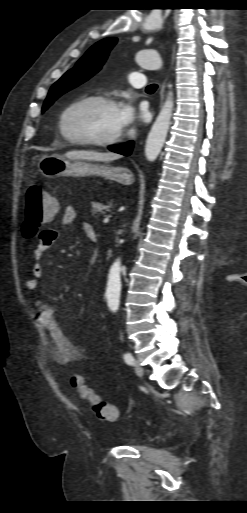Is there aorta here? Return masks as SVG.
Returning a JSON list of instances; mask_svg holds the SVG:
<instances>
[{"label":"aorta","instance_id":"aorta-1","mask_svg":"<svg viewBox=\"0 0 247 513\" xmlns=\"http://www.w3.org/2000/svg\"><path fill=\"white\" fill-rule=\"evenodd\" d=\"M135 61L139 66L148 70H159L162 67V60L154 50L139 52ZM173 107V93L170 91L147 136L145 156L149 162L155 161L162 150L170 127ZM120 273L121 263L120 260H117L111 267L107 284L109 305L113 310H117L120 303Z\"/></svg>","mask_w":247,"mask_h":513}]
</instances>
